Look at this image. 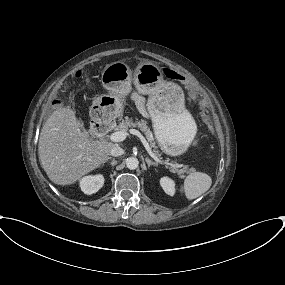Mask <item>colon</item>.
<instances>
[{
  "instance_id": "1",
  "label": "colon",
  "mask_w": 285,
  "mask_h": 285,
  "mask_svg": "<svg viewBox=\"0 0 285 285\" xmlns=\"http://www.w3.org/2000/svg\"><path fill=\"white\" fill-rule=\"evenodd\" d=\"M164 74L169 79L176 80V81L183 83L185 85V88L190 98L201 101V102L204 101L205 99L204 93L195 84L190 82L184 75L179 74L169 68L164 69ZM81 76H82L81 71H77L75 74V77L79 78ZM53 105H57V102H54ZM194 152L195 150H193V153Z\"/></svg>"
}]
</instances>
